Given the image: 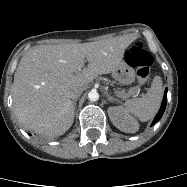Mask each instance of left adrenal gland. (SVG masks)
<instances>
[{
    "label": "left adrenal gland",
    "mask_w": 187,
    "mask_h": 187,
    "mask_svg": "<svg viewBox=\"0 0 187 187\" xmlns=\"http://www.w3.org/2000/svg\"><path fill=\"white\" fill-rule=\"evenodd\" d=\"M105 96L107 97L108 101H110V102L118 101L116 98H114L113 96H111L107 92H105Z\"/></svg>",
    "instance_id": "a2214340"
}]
</instances>
